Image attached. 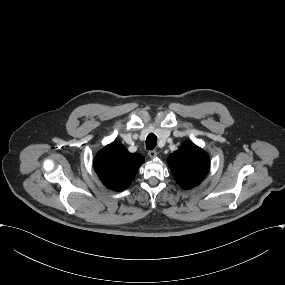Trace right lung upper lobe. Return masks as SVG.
<instances>
[{
    "label": "right lung upper lobe",
    "mask_w": 285,
    "mask_h": 285,
    "mask_svg": "<svg viewBox=\"0 0 285 285\" xmlns=\"http://www.w3.org/2000/svg\"><path fill=\"white\" fill-rule=\"evenodd\" d=\"M144 161V157L128 152L121 144L111 143L96 155L94 169L107 188L122 191L131 184Z\"/></svg>",
    "instance_id": "obj_1"
}]
</instances>
